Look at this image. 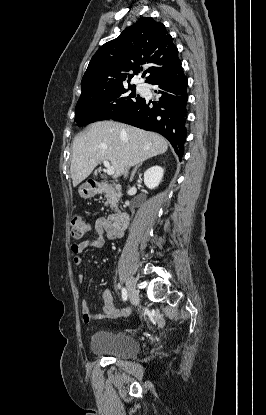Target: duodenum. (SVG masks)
Masks as SVG:
<instances>
[{"instance_id": "410a0bca", "label": "duodenum", "mask_w": 266, "mask_h": 415, "mask_svg": "<svg viewBox=\"0 0 266 415\" xmlns=\"http://www.w3.org/2000/svg\"><path fill=\"white\" fill-rule=\"evenodd\" d=\"M89 186L93 192L100 193L105 189L106 184L97 181H91ZM106 222L109 227L117 231H122L129 224V215L126 212L119 211L110 215L107 218Z\"/></svg>"}]
</instances>
